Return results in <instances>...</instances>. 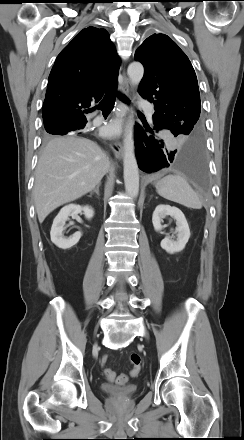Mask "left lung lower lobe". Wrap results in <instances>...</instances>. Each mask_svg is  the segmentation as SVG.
I'll list each match as a JSON object with an SVG mask.
<instances>
[{
  "instance_id": "0a47b994",
  "label": "left lung lower lobe",
  "mask_w": 244,
  "mask_h": 440,
  "mask_svg": "<svg viewBox=\"0 0 244 440\" xmlns=\"http://www.w3.org/2000/svg\"><path fill=\"white\" fill-rule=\"evenodd\" d=\"M154 126H135V148L138 166L145 172L172 167L199 184L206 179V157L203 133L189 138L181 149L173 148L163 135L165 127L153 116Z\"/></svg>"
}]
</instances>
